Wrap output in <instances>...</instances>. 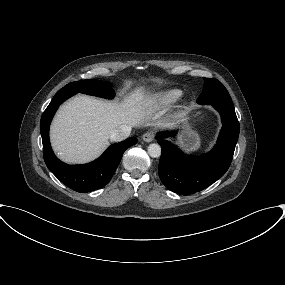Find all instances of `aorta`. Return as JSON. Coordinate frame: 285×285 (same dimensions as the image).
Segmentation results:
<instances>
[{
    "instance_id": "762f6f07",
    "label": "aorta",
    "mask_w": 285,
    "mask_h": 285,
    "mask_svg": "<svg viewBox=\"0 0 285 285\" xmlns=\"http://www.w3.org/2000/svg\"><path fill=\"white\" fill-rule=\"evenodd\" d=\"M148 154L153 157L157 158L161 155V147L159 144L152 143L148 146Z\"/></svg>"
}]
</instances>
